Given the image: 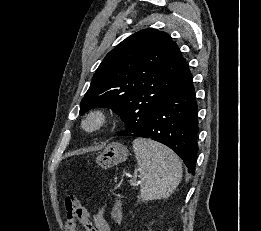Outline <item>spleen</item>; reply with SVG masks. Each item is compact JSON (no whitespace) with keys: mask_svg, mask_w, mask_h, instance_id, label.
I'll list each match as a JSON object with an SVG mask.
<instances>
[{"mask_svg":"<svg viewBox=\"0 0 261 231\" xmlns=\"http://www.w3.org/2000/svg\"><path fill=\"white\" fill-rule=\"evenodd\" d=\"M133 150L141 178L139 200L168 198L182 178L178 156L162 144L144 138L133 141Z\"/></svg>","mask_w":261,"mask_h":231,"instance_id":"3e777b00","label":"spleen"}]
</instances>
